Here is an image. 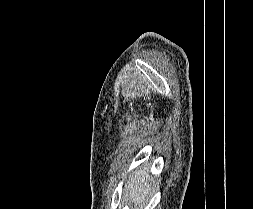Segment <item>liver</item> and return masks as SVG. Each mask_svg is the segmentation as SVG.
Instances as JSON below:
<instances>
[{
  "mask_svg": "<svg viewBox=\"0 0 253 209\" xmlns=\"http://www.w3.org/2000/svg\"><path fill=\"white\" fill-rule=\"evenodd\" d=\"M148 168L141 167L132 173L125 186L124 196L134 204V209H143L151 195L153 181L147 176Z\"/></svg>",
  "mask_w": 253,
  "mask_h": 209,
  "instance_id": "obj_1",
  "label": "liver"
}]
</instances>
